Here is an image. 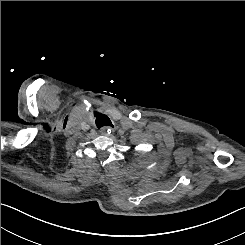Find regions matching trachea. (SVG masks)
Segmentation results:
<instances>
[{"label":"trachea","mask_w":245,"mask_h":245,"mask_svg":"<svg viewBox=\"0 0 245 245\" xmlns=\"http://www.w3.org/2000/svg\"><path fill=\"white\" fill-rule=\"evenodd\" d=\"M95 116H96V125L98 129L105 127V126L113 127L111 120L106 115L95 113Z\"/></svg>","instance_id":"obj_1"}]
</instances>
